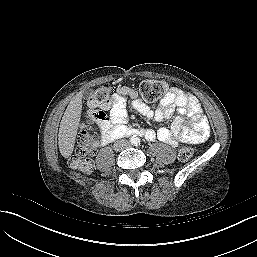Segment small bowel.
Returning <instances> with one entry per match:
<instances>
[{
    "label": "small bowel",
    "mask_w": 257,
    "mask_h": 257,
    "mask_svg": "<svg viewBox=\"0 0 257 257\" xmlns=\"http://www.w3.org/2000/svg\"><path fill=\"white\" fill-rule=\"evenodd\" d=\"M127 97L131 100V107L142 116L157 122L172 120L170 128H160L157 131L146 129L145 137L148 140L157 138L177 147L183 143H200L209 137V123L193 95L180 88L172 87L165 93L159 104L151 108L135 90L123 86L116 90L109 116H106L99 125L101 135L95 143L96 146L109 143L110 132L127 123ZM185 117L189 120L185 121ZM81 129H84L83 124Z\"/></svg>",
    "instance_id": "obj_1"
}]
</instances>
